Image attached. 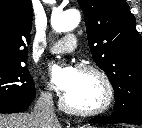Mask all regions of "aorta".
Masks as SVG:
<instances>
[{
  "label": "aorta",
  "mask_w": 142,
  "mask_h": 128,
  "mask_svg": "<svg viewBox=\"0 0 142 128\" xmlns=\"http://www.w3.org/2000/svg\"><path fill=\"white\" fill-rule=\"evenodd\" d=\"M81 16L78 10L70 9L66 11H59L52 15V28L58 32H67L73 30L78 26Z\"/></svg>",
  "instance_id": "aorta-1"
}]
</instances>
